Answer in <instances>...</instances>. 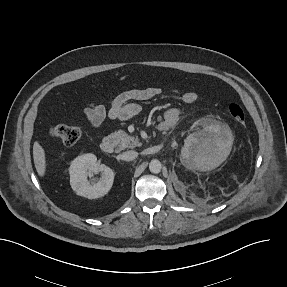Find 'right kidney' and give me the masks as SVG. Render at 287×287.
I'll return each mask as SVG.
<instances>
[{
    "label": "right kidney",
    "instance_id": "obj_1",
    "mask_svg": "<svg viewBox=\"0 0 287 287\" xmlns=\"http://www.w3.org/2000/svg\"><path fill=\"white\" fill-rule=\"evenodd\" d=\"M101 172V177L90 182L88 177ZM70 185L77 195L97 199L106 195L114 181V172L104 164L99 165L94 154L78 156L69 168Z\"/></svg>",
    "mask_w": 287,
    "mask_h": 287
}]
</instances>
